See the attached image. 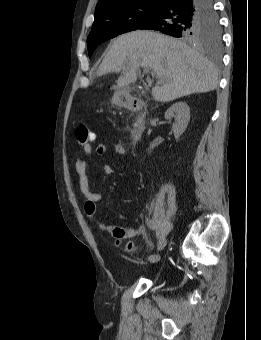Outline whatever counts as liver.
Wrapping results in <instances>:
<instances>
[{
    "instance_id": "obj_1",
    "label": "liver",
    "mask_w": 261,
    "mask_h": 340,
    "mask_svg": "<svg viewBox=\"0 0 261 340\" xmlns=\"http://www.w3.org/2000/svg\"><path fill=\"white\" fill-rule=\"evenodd\" d=\"M145 66L159 79L152 88L155 101L169 102L193 93L209 92L218 84L214 65L199 52L178 39L140 30L114 40L96 75L121 71L115 86L120 90L135 82L138 69Z\"/></svg>"
}]
</instances>
